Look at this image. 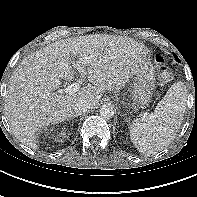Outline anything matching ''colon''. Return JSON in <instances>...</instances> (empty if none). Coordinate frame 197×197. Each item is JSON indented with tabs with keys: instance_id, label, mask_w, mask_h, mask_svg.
I'll return each mask as SVG.
<instances>
[{
	"instance_id": "5ec220e1",
	"label": "colon",
	"mask_w": 197,
	"mask_h": 197,
	"mask_svg": "<svg viewBox=\"0 0 197 197\" xmlns=\"http://www.w3.org/2000/svg\"><path fill=\"white\" fill-rule=\"evenodd\" d=\"M155 63L157 66L158 78L160 82H169L172 79V72L166 65L165 58L162 55L157 54L155 56Z\"/></svg>"
}]
</instances>
